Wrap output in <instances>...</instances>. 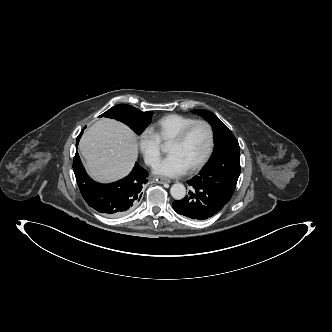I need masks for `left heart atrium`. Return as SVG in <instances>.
<instances>
[{
    "instance_id": "left-heart-atrium-1",
    "label": "left heart atrium",
    "mask_w": 332,
    "mask_h": 332,
    "mask_svg": "<svg viewBox=\"0 0 332 332\" xmlns=\"http://www.w3.org/2000/svg\"><path fill=\"white\" fill-rule=\"evenodd\" d=\"M188 169L187 164L177 154H169L157 163L153 171L157 175L177 177L184 174Z\"/></svg>"
}]
</instances>
